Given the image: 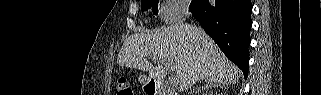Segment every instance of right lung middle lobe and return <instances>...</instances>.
<instances>
[{"label": "right lung middle lobe", "mask_w": 321, "mask_h": 95, "mask_svg": "<svg viewBox=\"0 0 321 95\" xmlns=\"http://www.w3.org/2000/svg\"><path fill=\"white\" fill-rule=\"evenodd\" d=\"M201 0H192L190 6H191V11H194L196 7L199 5ZM158 0H141V10L145 11L149 8L152 9L153 14L157 15L158 13Z\"/></svg>", "instance_id": "right-lung-middle-lobe-1"}]
</instances>
